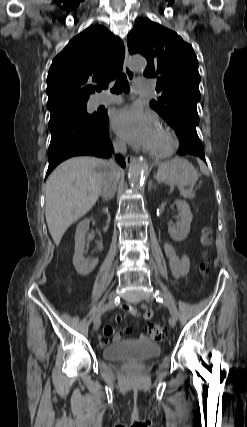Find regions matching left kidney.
<instances>
[{
  "label": "left kidney",
  "instance_id": "obj_1",
  "mask_svg": "<svg viewBox=\"0 0 247 427\" xmlns=\"http://www.w3.org/2000/svg\"><path fill=\"white\" fill-rule=\"evenodd\" d=\"M175 203L178 210V220L175 225L169 226L168 232L173 240L180 242L186 239L190 232L193 215L186 201L176 200Z\"/></svg>",
  "mask_w": 247,
  "mask_h": 427
}]
</instances>
